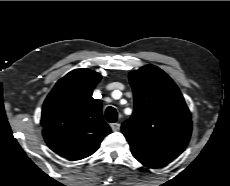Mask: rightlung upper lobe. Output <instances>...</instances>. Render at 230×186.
<instances>
[{
    "mask_svg": "<svg viewBox=\"0 0 230 186\" xmlns=\"http://www.w3.org/2000/svg\"><path fill=\"white\" fill-rule=\"evenodd\" d=\"M101 75L88 69H75L60 79L47 96L41 125L48 146L70 160L93 154L104 136L111 133L103 120L101 103L92 92Z\"/></svg>",
    "mask_w": 230,
    "mask_h": 186,
    "instance_id": "obj_1",
    "label": "right lung upper lobe"
}]
</instances>
